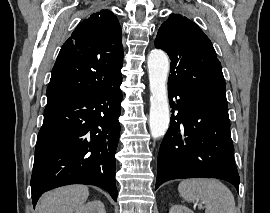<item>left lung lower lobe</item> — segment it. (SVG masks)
Here are the masks:
<instances>
[{"label": "left lung lower lobe", "instance_id": "left-lung-lower-lobe-1", "mask_svg": "<svg viewBox=\"0 0 270 213\" xmlns=\"http://www.w3.org/2000/svg\"><path fill=\"white\" fill-rule=\"evenodd\" d=\"M168 92L178 113L160 146L155 189L172 179L206 177L228 181L239 191L227 103L174 87Z\"/></svg>", "mask_w": 270, "mask_h": 213}]
</instances>
